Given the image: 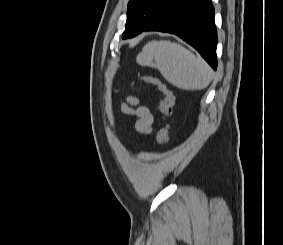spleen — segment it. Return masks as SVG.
I'll list each match as a JSON object with an SVG mask.
<instances>
[{
    "instance_id": "spleen-1",
    "label": "spleen",
    "mask_w": 283,
    "mask_h": 245,
    "mask_svg": "<svg viewBox=\"0 0 283 245\" xmlns=\"http://www.w3.org/2000/svg\"><path fill=\"white\" fill-rule=\"evenodd\" d=\"M136 61L160 71L172 85L184 90H201L212 80L210 66L200 57L176 42L167 40L147 43Z\"/></svg>"
}]
</instances>
